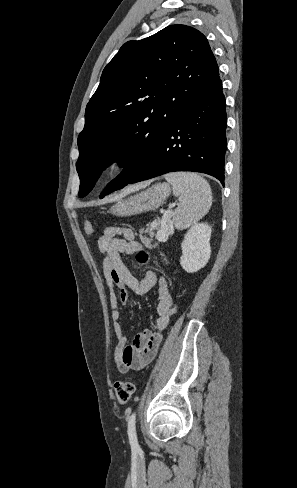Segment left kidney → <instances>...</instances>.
Returning a JSON list of instances; mask_svg holds the SVG:
<instances>
[{
    "label": "left kidney",
    "instance_id": "5707ae66",
    "mask_svg": "<svg viewBox=\"0 0 297 488\" xmlns=\"http://www.w3.org/2000/svg\"><path fill=\"white\" fill-rule=\"evenodd\" d=\"M211 232L207 223H195L185 234L180 264L186 272H196L207 264L211 253Z\"/></svg>",
    "mask_w": 297,
    "mask_h": 488
}]
</instances>
